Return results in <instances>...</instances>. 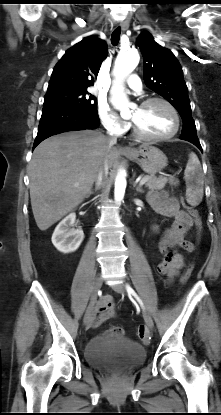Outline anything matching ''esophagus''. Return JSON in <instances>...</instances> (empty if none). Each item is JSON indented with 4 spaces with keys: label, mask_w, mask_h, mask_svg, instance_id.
<instances>
[{
    "label": "esophagus",
    "mask_w": 221,
    "mask_h": 415,
    "mask_svg": "<svg viewBox=\"0 0 221 415\" xmlns=\"http://www.w3.org/2000/svg\"><path fill=\"white\" fill-rule=\"evenodd\" d=\"M119 25H120V27H121V29L123 31H126L128 29V27H129V22L128 21H122ZM120 150H122V151H129L130 148H128V147H121Z\"/></svg>",
    "instance_id": "1"
}]
</instances>
